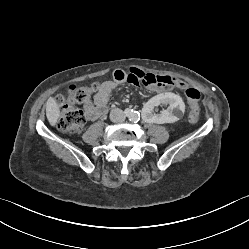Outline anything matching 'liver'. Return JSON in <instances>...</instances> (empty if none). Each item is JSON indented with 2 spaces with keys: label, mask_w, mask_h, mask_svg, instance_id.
I'll list each match as a JSON object with an SVG mask.
<instances>
[{
  "label": "liver",
  "mask_w": 249,
  "mask_h": 249,
  "mask_svg": "<svg viewBox=\"0 0 249 249\" xmlns=\"http://www.w3.org/2000/svg\"><path fill=\"white\" fill-rule=\"evenodd\" d=\"M46 116L51 126H55L60 117V109L53 97L46 102Z\"/></svg>",
  "instance_id": "1"
}]
</instances>
